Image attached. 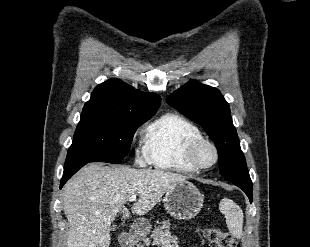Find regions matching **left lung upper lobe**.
Masks as SVG:
<instances>
[{
    "label": "left lung upper lobe",
    "mask_w": 310,
    "mask_h": 247,
    "mask_svg": "<svg viewBox=\"0 0 310 247\" xmlns=\"http://www.w3.org/2000/svg\"><path fill=\"white\" fill-rule=\"evenodd\" d=\"M166 102L206 130L217 147L223 177L248 173L229 104L220 91L193 80L167 96Z\"/></svg>",
    "instance_id": "5c2ea615"
}]
</instances>
